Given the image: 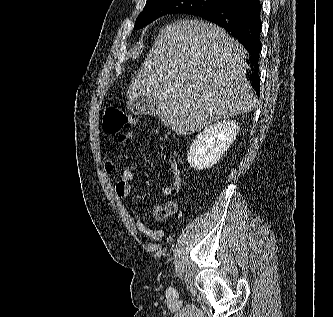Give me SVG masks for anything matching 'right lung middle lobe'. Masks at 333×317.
Wrapping results in <instances>:
<instances>
[{
    "label": "right lung middle lobe",
    "instance_id": "dd1d6c3e",
    "mask_svg": "<svg viewBox=\"0 0 333 317\" xmlns=\"http://www.w3.org/2000/svg\"><path fill=\"white\" fill-rule=\"evenodd\" d=\"M226 0H147L144 10L135 22V29L142 28L157 18L175 13L195 15L225 4Z\"/></svg>",
    "mask_w": 333,
    "mask_h": 317
}]
</instances>
